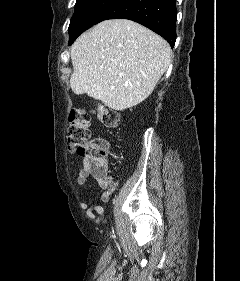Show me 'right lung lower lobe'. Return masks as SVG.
Returning <instances> with one entry per match:
<instances>
[{"label":"right lung lower lobe","mask_w":240,"mask_h":281,"mask_svg":"<svg viewBox=\"0 0 240 281\" xmlns=\"http://www.w3.org/2000/svg\"><path fill=\"white\" fill-rule=\"evenodd\" d=\"M176 0H117L95 22L107 19H129L151 29L174 47Z\"/></svg>","instance_id":"98d812e1"}]
</instances>
